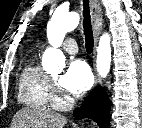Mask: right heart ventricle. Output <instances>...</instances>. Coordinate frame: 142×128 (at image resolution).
Returning <instances> with one entry per match:
<instances>
[{
    "label": "right heart ventricle",
    "instance_id": "1",
    "mask_svg": "<svg viewBox=\"0 0 142 128\" xmlns=\"http://www.w3.org/2000/svg\"><path fill=\"white\" fill-rule=\"evenodd\" d=\"M18 99L29 107L46 108L52 105L50 78L34 62L28 63L20 74Z\"/></svg>",
    "mask_w": 142,
    "mask_h": 128
}]
</instances>
